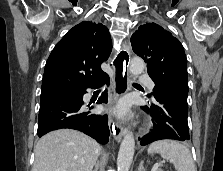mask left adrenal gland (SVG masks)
Segmentation results:
<instances>
[{
    "instance_id": "obj_1",
    "label": "left adrenal gland",
    "mask_w": 223,
    "mask_h": 171,
    "mask_svg": "<svg viewBox=\"0 0 223 171\" xmlns=\"http://www.w3.org/2000/svg\"><path fill=\"white\" fill-rule=\"evenodd\" d=\"M144 160H142L139 164V167H138V170L137 171H145V168H144Z\"/></svg>"
}]
</instances>
